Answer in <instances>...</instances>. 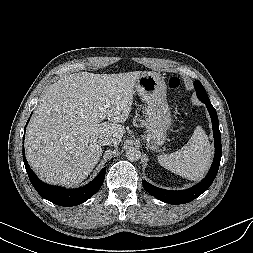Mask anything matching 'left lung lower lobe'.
Masks as SVG:
<instances>
[{
	"instance_id": "obj_1",
	"label": "left lung lower lobe",
	"mask_w": 253,
	"mask_h": 253,
	"mask_svg": "<svg viewBox=\"0 0 253 253\" xmlns=\"http://www.w3.org/2000/svg\"><path fill=\"white\" fill-rule=\"evenodd\" d=\"M206 104L207 109L209 111L211 120H212V127H213V135L215 141V156L212 163V166L209 170L208 175L197 185L182 191H170L158 188L153 186L152 184L148 183L147 181H143L144 188L154 197L157 199L169 203V204H184L188 203L202 193H204L214 181L222 156V148H221V134L219 131V122L217 117V112L215 108L212 106L210 101L203 102Z\"/></svg>"
}]
</instances>
